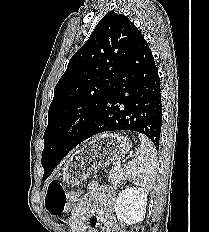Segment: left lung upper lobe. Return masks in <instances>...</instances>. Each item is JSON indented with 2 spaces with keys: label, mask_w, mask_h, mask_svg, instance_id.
Masks as SVG:
<instances>
[{
  "label": "left lung upper lobe",
  "mask_w": 209,
  "mask_h": 232,
  "mask_svg": "<svg viewBox=\"0 0 209 232\" xmlns=\"http://www.w3.org/2000/svg\"><path fill=\"white\" fill-rule=\"evenodd\" d=\"M141 37L127 16L110 11L71 58L49 107L42 151L43 180L78 145Z\"/></svg>",
  "instance_id": "obj_1"
}]
</instances>
